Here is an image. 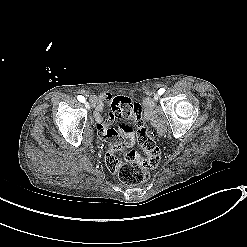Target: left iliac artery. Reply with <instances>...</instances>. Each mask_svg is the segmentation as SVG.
I'll return each instance as SVG.
<instances>
[{"label": "left iliac artery", "mask_w": 247, "mask_h": 247, "mask_svg": "<svg viewBox=\"0 0 247 247\" xmlns=\"http://www.w3.org/2000/svg\"><path fill=\"white\" fill-rule=\"evenodd\" d=\"M164 92H165V88H160V89L158 90V94H159V95H162Z\"/></svg>", "instance_id": "obj_1"}]
</instances>
